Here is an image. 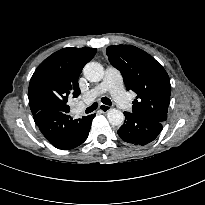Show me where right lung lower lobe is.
<instances>
[{"instance_id": "obj_1", "label": "right lung lower lobe", "mask_w": 205, "mask_h": 205, "mask_svg": "<svg viewBox=\"0 0 205 205\" xmlns=\"http://www.w3.org/2000/svg\"><path fill=\"white\" fill-rule=\"evenodd\" d=\"M95 114L73 120L67 113L45 108L34 115V121L46 139L56 148L73 149L88 137Z\"/></svg>"}]
</instances>
